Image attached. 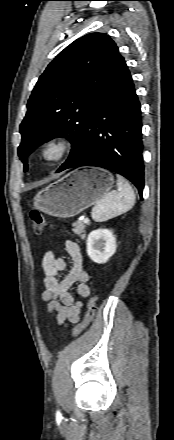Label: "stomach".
I'll return each instance as SVG.
<instances>
[{
    "label": "stomach",
    "mask_w": 174,
    "mask_h": 440,
    "mask_svg": "<svg viewBox=\"0 0 174 440\" xmlns=\"http://www.w3.org/2000/svg\"><path fill=\"white\" fill-rule=\"evenodd\" d=\"M113 184V175L105 169L78 168L38 192L33 204L48 215L70 218L97 203Z\"/></svg>",
    "instance_id": "0dacf381"
}]
</instances>
